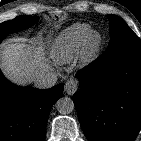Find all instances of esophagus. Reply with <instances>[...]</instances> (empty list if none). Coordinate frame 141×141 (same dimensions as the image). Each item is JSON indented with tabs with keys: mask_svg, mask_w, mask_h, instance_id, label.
<instances>
[{
	"mask_svg": "<svg viewBox=\"0 0 141 141\" xmlns=\"http://www.w3.org/2000/svg\"><path fill=\"white\" fill-rule=\"evenodd\" d=\"M64 89L67 94L72 95L77 90V81L70 79L65 83Z\"/></svg>",
	"mask_w": 141,
	"mask_h": 141,
	"instance_id": "34e87169",
	"label": "esophagus"
}]
</instances>
